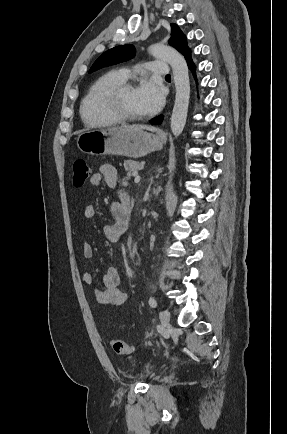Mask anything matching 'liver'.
Here are the masks:
<instances>
[{"mask_svg":"<svg viewBox=\"0 0 287 434\" xmlns=\"http://www.w3.org/2000/svg\"><path fill=\"white\" fill-rule=\"evenodd\" d=\"M122 129L137 131V130H144V129H149V128L142 126V125H133V126H128V127H123Z\"/></svg>","mask_w":287,"mask_h":434,"instance_id":"6515ba94","label":"liver"}]
</instances>
